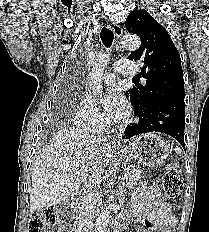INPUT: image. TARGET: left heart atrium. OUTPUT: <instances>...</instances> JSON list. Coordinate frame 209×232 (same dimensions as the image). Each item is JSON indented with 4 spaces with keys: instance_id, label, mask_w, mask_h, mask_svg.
<instances>
[{
    "instance_id": "1",
    "label": "left heart atrium",
    "mask_w": 209,
    "mask_h": 232,
    "mask_svg": "<svg viewBox=\"0 0 209 232\" xmlns=\"http://www.w3.org/2000/svg\"><path fill=\"white\" fill-rule=\"evenodd\" d=\"M101 103L105 109L106 120L109 122L123 120L128 115L129 106L127 101L114 88L106 91Z\"/></svg>"
}]
</instances>
